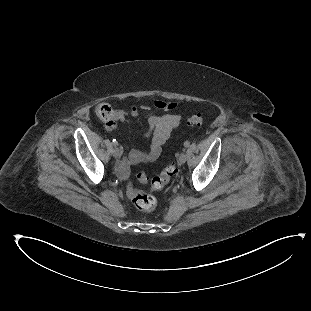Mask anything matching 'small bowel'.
Segmentation results:
<instances>
[{
    "mask_svg": "<svg viewBox=\"0 0 311 311\" xmlns=\"http://www.w3.org/2000/svg\"><path fill=\"white\" fill-rule=\"evenodd\" d=\"M175 108L176 104L174 102L157 100L152 104L144 103L140 106L128 105L118 111L119 120L122 122H128L130 119L138 117L140 112L148 114V130L143 137L150 140V148L147 152H144L136 149H128L125 146L124 163L137 165L150 163L158 159L163 145L168 140L172 130L180 122V117L173 113ZM153 109L161 110L164 114L157 116L152 113Z\"/></svg>",
    "mask_w": 311,
    "mask_h": 311,
    "instance_id": "c3829d8e",
    "label": "small bowel"
}]
</instances>
